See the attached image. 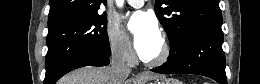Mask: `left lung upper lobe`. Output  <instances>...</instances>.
Returning a JSON list of instances; mask_svg holds the SVG:
<instances>
[{
  "label": "left lung upper lobe",
  "instance_id": "5c2ea615",
  "mask_svg": "<svg viewBox=\"0 0 260 84\" xmlns=\"http://www.w3.org/2000/svg\"><path fill=\"white\" fill-rule=\"evenodd\" d=\"M155 13L169 38V56H174L191 31L222 25L219 0H156Z\"/></svg>",
  "mask_w": 260,
  "mask_h": 84
}]
</instances>
